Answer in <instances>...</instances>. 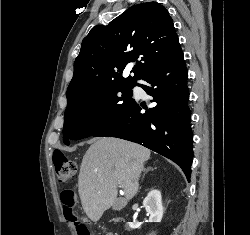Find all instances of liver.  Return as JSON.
Instances as JSON below:
<instances>
[{
	"mask_svg": "<svg viewBox=\"0 0 250 235\" xmlns=\"http://www.w3.org/2000/svg\"><path fill=\"white\" fill-rule=\"evenodd\" d=\"M149 157L147 148L118 138H100L89 147L81 163L78 191L90 220L97 222L115 202L124 206L137 194ZM118 187L124 190V200L117 199Z\"/></svg>",
	"mask_w": 250,
	"mask_h": 235,
	"instance_id": "liver-1",
	"label": "liver"
}]
</instances>
